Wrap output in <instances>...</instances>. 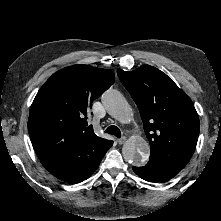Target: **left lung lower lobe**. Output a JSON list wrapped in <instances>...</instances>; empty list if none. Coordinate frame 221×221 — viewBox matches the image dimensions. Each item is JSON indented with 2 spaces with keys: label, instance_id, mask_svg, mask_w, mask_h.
<instances>
[{
  "label": "left lung lower lobe",
  "instance_id": "1",
  "mask_svg": "<svg viewBox=\"0 0 221 221\" xmlns=\"http://www.w3.org/2000/svg\"><path fill=\"white\" fill-rule=\"evenodd\" d=\"M133 170L142 179L155 183L166 182L179 173V171L173 168L154 161H149L142 167H133Z\"/></svg>",
  "mask_w": 221,
  "mask_h": 221
}]
</instances>
